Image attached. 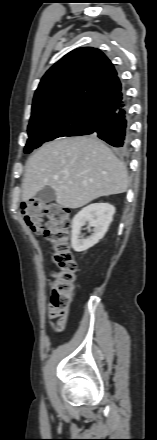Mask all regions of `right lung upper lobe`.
<instances>
[{"mask_svg": "<svg viewBox=\"0 0 157 440\" xmlns=\"http://www.w3.org/2000/svg\"><path fill=\"white\" fill-rule=\"evenodd\" d=\"M122 84L109 59L92 47L78 48L43 76L33 99L30 121H74L86 124L118 107Z\"/></svg>", "mask_w": 157, "mask_h": 440, "instance_id": "1", "label": "right lung upper lobe"}]
</instances>
